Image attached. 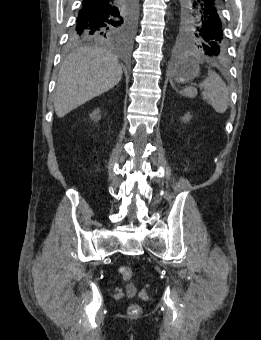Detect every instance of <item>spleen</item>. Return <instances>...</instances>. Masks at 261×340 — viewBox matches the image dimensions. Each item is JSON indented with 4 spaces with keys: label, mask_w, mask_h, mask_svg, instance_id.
Instances as JSON below:
<instances>
[{
    "label": "spleen",
    "mask_w": 261,
    "mask_h": 340,
    "mask_svg": "<svg viewBox=\"0 0 261 340\" xmlns=\"http://www.w3.org/2000/svg\"><path fill=\"white\" fill-rule=\"evenodd\" d=\"M204 89L202 97L207 101L217 113H224L230 102L229 91L222 78L215 72H208V77L200 84ZM183 94L190 98L197 95V89L188 87L183 90Z\"/></svg>",
    "instance_id": "1"
}]
</instances>
